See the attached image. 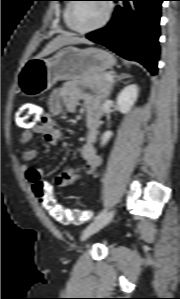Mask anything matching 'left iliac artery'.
<instances>
[{
    "label": "left iliac artery",
    "mask_w": 180,
    "mask_h": 299,
    "mask_svg": "<svg viewBox=\"0 0 180 299\" xmlns=\"http://www.w3.org/2000/svg\"><path fill=\"white\" fill-rule=\"evenodd\" d=\"M106 212H107V209L102 210L100 213H98V215L94 218V220L99 219V218L102 217Z\"/></svg>",
    "instance_id": "44dca946"
}]
</instances>
